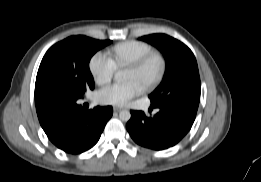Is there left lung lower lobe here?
Instances as JSON below:
<instances>
[{
	"instance_id": "obj_1",
	"label": "left lung lower lobe",
	"mask_w": 261,
	"mask_h": 182,
	"mask_svg": "<svg viewBox=\"0 0 261 182\" xmlns=\"http://www.w3.org/2000/svg\"><path fill=\"white\" fill-rule=\"evenodd\" d=\"M199 101L180 100L159 108L154 117L142 111H131L126 128L139 145L154 150H163L177 144L191 129L196 117Z\"/></svg>"
}]
</instances>
